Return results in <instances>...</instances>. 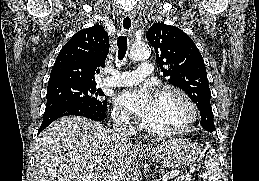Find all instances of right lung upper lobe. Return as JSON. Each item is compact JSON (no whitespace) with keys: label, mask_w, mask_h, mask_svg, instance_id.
Wrapping results in <instances>:
<instances>
[{"label":"right lung upper lobe","mask_w":259,"mask_h":181,"mask_svg":"<svg viewBox=\"0 0 259 181\" xmlns=\"http://www.w3.org/2000/svg\"><path fill=\"white\" fill-rule=\"evenodd\" d=\"M109 37L101 25L78 31L62 47L48 86L61 83L96 84L94 75L105 66Z\"/></svg>","instance_id":"1"}]
</instances>
